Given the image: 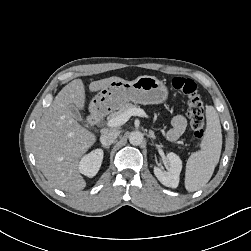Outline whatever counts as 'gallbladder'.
<instances>
[{"instance_id":"bac80fb5","label":"gallbladder","mask_w":251,"mask_h":251,"mask_svg":"<svg viewBox=\"0 0 251 251\" xmlns=\"http://www.w3.org/2000/svg\"><path fill=\"white\" fill-rule=\"evenodd\" d=\"M69 110L71 112V114L73 115V117L78 120L79 122H84V120L82 119L78 109L75 106H70Z\"/></svg>"}]
</instances>
